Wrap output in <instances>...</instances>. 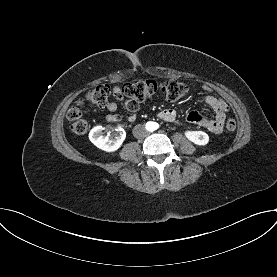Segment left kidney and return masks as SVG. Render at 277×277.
<instances>
[{"mask_svg": "<svg viewBox=\"0 0 277 277\" xmlns=\"http://www.w3.org/2000/svg\"><path fill=\"white\" fill-rule=\"evenodd\" d=\"M186 138L196 145L204 146L209 142V136L203 131H186Z\"/></svg>", "mask_w": 277, "mask_h": 277, "instance_id": "left-kidney-1", "label": "left kidney"}]
</instances>
